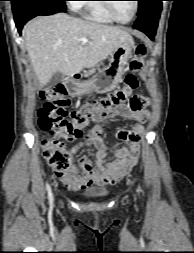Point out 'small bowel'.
I'll return each instance as SVG.
<instances>
[{"label": "small bowel", "instance_id": "1", "mask_svg": "<svg viewBox=\"0 0 194 253\" xmlns=\"http://www.w3.org/2000/svg\"><path fill=\"white\" fill-rule=\"evenodd\" d=\"M128 97V104L114 109L109 114L95 121V125L85 135L84 140L75 143L68 151L71 156L79 153L85 146H91L94 161L81 156L78 163L65 172L55 171L56 177L70 190H80L91 185L104 186L121 180L137 163L140 140L145 130V123L150 118L147 107L150 100L133 93ZM120 116L132 123L128 128L119 129L116 136L124 142L120 148L113 149L103 139L104 129L99 124L105 118Z\"/></svg>", "mask_w": 194, "mask_h": 253}]
</instances>
